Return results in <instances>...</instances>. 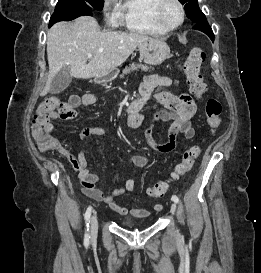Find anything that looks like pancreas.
Segmentation results:
<instances>
[{
	"mask_svg": "<svg viewBox=\"0 0 261 273\" xmlns=\"http://www.w3.org/2000/svg\"><path fill=\"white\" fill-rule=\"evenodd\" d=\"M139 69L142 71H149L150 70V68L146 65L132 63L128 67H125V69L122 71V74L120 75V78H123L124 75H127L133 71H137Z\"/></svg>",
	"mask_w": 261,
	"mask_h": 273,
	"instance_id": "obj_1",
	"label": "pancreas"
}]
</instances>
